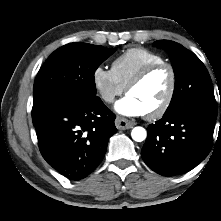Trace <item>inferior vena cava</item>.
Returning a JSON list of instances; mask_svg holds the SVG:
<instances>
[{
    "label": "inferior vena cava",
    "instance_id": "1",
    "mask_svg": "<svg viewBox=\"0 0 221 221\" xmlns=\"http://www.w3.org/2000/svg\"><path fill=\"white\" fill-rule=\"evenodd\" d=\"M105 100H106L107 102H113V101H114V96H113V95H110V96L106 97Z\"/></svg>",
    "mask_w": 221,
    "mask_h": 221
}]
</instances>
